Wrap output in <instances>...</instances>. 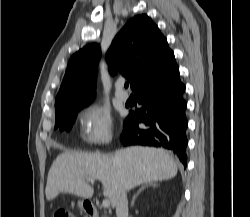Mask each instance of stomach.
Listing matches in <instances>:
<instances>
[{
    "mask_svg": "<svg viewBox=\"0 0 250 217\" xmlns=\"http://www.w3.org/2000/svg\"><path fill=\"white\" fill-rule=\"evenodd\" d=\"M85 202H86L85 200H79L77 203V205L81 211H86L85 206H84Z\"/></svg>",
    "mask_w": 250,
    "mask_h": 217,
    "instance_id": "stomach-1",
    "label": "stomach"
}]
</instances>
